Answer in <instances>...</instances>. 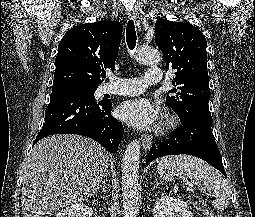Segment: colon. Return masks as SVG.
Masks as SVG:
<instances>
[{
    "mask_svg": "<svg viewBox=\"0 0 255 217\" xmlns=\"http://www.w3.org/2000/svg\"><path fill=\"white\" fill-rule=\"evenodd\" d=\"M196 207H197V209L199 210V211H201L204 215H205V217H220V216H217V215H213L212 213H211V211L205 206V204L204 203H202V202H198L197 204H196Z\"/></svg>",
    "mask_w": 255,
    "mask_h": 217,
    "instance_id": "colon-1",
    "label": "colon"
}]
</instances>
